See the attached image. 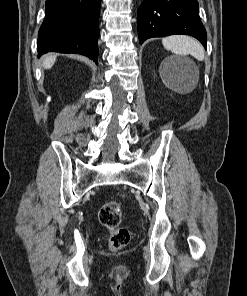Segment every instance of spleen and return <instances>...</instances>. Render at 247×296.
<instances>
[{"label":"spleen","mask_w":247,"mask_h":296,"mask_svg":"<svg viewBox=\"0 0 247 296\" xmlns=\"http://www.w3.org/2000/svg\"><path fill=\"white\" fill-rule=\"evenodd\" d=\"M163 46L176 55H191L199 61L205 58L202 45L194 38L185 35H173L162 39Z\"/></svg>","instance_id":"spleen-1"}]
</instances>
